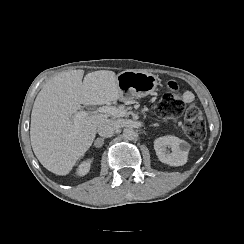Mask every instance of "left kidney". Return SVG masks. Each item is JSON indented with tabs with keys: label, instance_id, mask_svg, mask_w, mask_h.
Segmentation results:
<instances>
[{
	"label": "left kidney",
	"instance_id": "left-kidney-1",
	"mask_svg": "<svg viewBox=\"0 0 244 244\" xmlns=\"http://www.w3.org/2000/svg\"><path fill=\"white\" fill-rule=\"evenodd\" d=\"M185 142L173 137H160L154 141V149L159 160L170 166H180L186 163L187 151Z\"/></svg>",
	"mask_w": 244,
	"mask_h": 244
}]
</instances>
